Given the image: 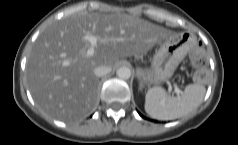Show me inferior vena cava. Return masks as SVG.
Returning a JSON list of instances; mask_svg holds the SVG:
<instances>
[{"instance_id": "inferior-vena-cava-1", "label": "inferior vena cava", "mask_w": 238, "mask_h": 145, "mask_svg": "<svg viewBox=\"0 0 238 145\" xmlns=\"http://www.w3.org/2000/svg\"><path fill=\"white\" fill-rule=\"evenodd\" d=\"M111 67L109 66H98L94 69V74L97 76V77H102V76H105L107 75L108 73L111 72Z\"/></svg>"}]
</instances>
